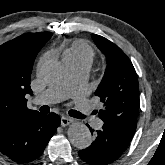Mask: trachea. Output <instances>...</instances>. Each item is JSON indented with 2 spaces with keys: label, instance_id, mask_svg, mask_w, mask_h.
I'll use <instances>...</instances> for the list:
<instances>
[{
  "label": "trachea",
  "instance_id": "3493384b",
  "mask_svg": "<svg viewBox=\"0 0 165 165\" xmlns=\"http://www.w3.org/2000/svg\"><path fill=\"white\" fill-rule=\"evenodd\" d=\"M70 113L73 114L74 117H76V118H80V119L85 118V116L83 114H81L80 112H78V111L71 110Z\"/></svg>",
  "mask_w": 165,
  "mask_h": 165
}]
</instances>
